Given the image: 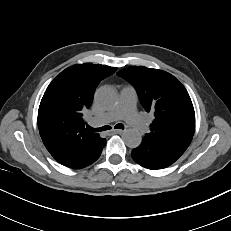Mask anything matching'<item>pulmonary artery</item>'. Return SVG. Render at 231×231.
I'll return each instance as SVG.
<instances>
[{
  "instance_id": "e3ab8cb5",
  "label": "pulmonary artery",
  "mask_w": 231,
  "mask_h": 231,
  "mask_svg": "<svg viewBox=\"0 0 231 231\" xmlns=\"http://www.w3.org/2000/svg\"><path fill=\"white\" fill-rule=\"evenodd\" d=\"M136 99L137 93L133 87H123L120 91L117 106L110 112L100 117L93 118L90 121L96 125H103L124 119L136 131L144 132L146 130V123L144 119L137 114Z\"/></svg>"
}]
</instances>
